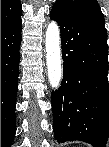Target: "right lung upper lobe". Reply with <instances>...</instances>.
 I'll return each mask as SVG.
<instances>
[{"instance_id": "right-lung-upper-lobe-1", "label": "right lung upper lobe", "mask_w": 109, "mask_h": 147, "mask_svg": "<svg viewBox=\"0 0 109 147\" xmlns=\"http://www.w3.org/2000/svg\"><path fill=\"white\" fill-rule=\"evenodd\" d=\"M21 14L20 0H1V28L11 25Z\"/></svg>"}]
</instances>
